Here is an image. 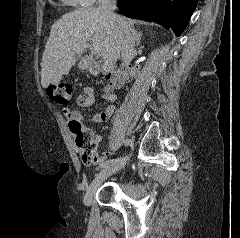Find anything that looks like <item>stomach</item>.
I'll list each match as a JSON object with an SVG mask.
<instances>
[{"mask_svg":"<svg viewBox=\"0 0 240 238\" xmlns=\"http://www.w3.org/2000/svg\"><path fill=\"white\" fill-rule=\"evenodd\" d=\"M86 63L84 61H81L80 64H79V67L80 68H86Z\"/></svg>","mask_w":240,"mask_h":238,"instance_id":"0dacf381","label":"stomach"}]
</instances>
